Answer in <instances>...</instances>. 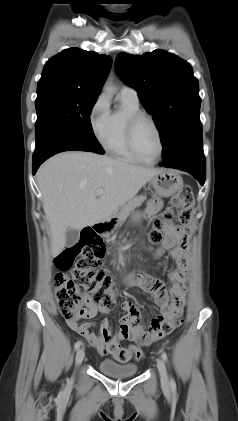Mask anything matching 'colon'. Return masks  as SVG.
<instances>
[{
    "mask_svg": "<svg viewBox=\"0 0 238 421\" xmlns=\"http://www.w3.org/2000/svg\"><path fill=\"white\" fill-rule=\"evenodd\" d=\"M194 203L191 188L184 186L172 198V206L155 219L149 233V241L153 244L161 242L162 231L172 221L180 226L182 233L189 235ZM103 255L102 240L95 234L84 231L78 243L64 249L56 256L55 266L58 269L54 280L56 301L67 320H75L82 316L88 300L108 308L114 306L113 293L116 288L112 278L101 267ZM181 321V312H174L169 320L161 324L149 341L154 342L171 333ZM113 355L118 362L127 363L132 359L140 360L143 351L139 346L118 347Z\"/></svg>",
    "mask_w": 238,
    "mask_h": 421,
    "instance_id": "obj_1",
    "label": "colon"
}]
</instances>
